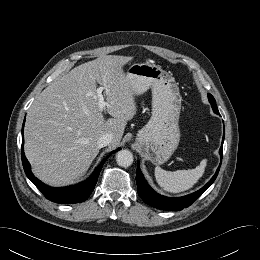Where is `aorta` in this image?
I'll return each mask as SVG.
<instances>
[{
    "label": "aorta",
    "mask_w": 260,
    "mask_h": 260,
    "mask_svg": "<svg viewBox=\"0 0 260 260\" xmlns=\"http://www.w3.org/2000/svg\"><path fill=\"white\" fill-rule=\"evenodd\" d=\"M134 160L133 154L126 149L120 150L116 155V161L119 166L129 167Z\"/></svg>",
    "instance_id": "aorta-1"
}]
</instances>
